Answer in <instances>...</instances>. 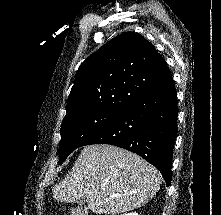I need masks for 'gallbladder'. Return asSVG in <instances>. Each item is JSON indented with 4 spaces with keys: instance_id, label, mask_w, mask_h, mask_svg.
<instances>
[{
    "instance_id": "1",
    "label": "gallbladder",
    "mask_w": 221,
    "mask_h": 215,
    "mask_svg": "<svg viewBox=\"0 0 221 215\" xmlns=\"http://www.w3.org/2000/svg\"><path fill=\"white\" fill-rule=\"evenodd\" d=\"M85 202H86V198H85V197H82L77 203H78L79 205H82V204H85Z\"/></svg>"
}]
</instances>
